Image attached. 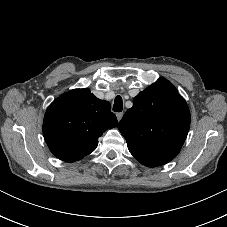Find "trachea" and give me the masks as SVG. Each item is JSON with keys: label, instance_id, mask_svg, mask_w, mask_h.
Returning a JSON list of instances; mask_svg holds the SVG:
<instances>
[{"label": "trachea", "instance_id": "trachea-1", "mask_svg": "<svg viewBox=\"0 0 227 227\" xmlns=\"http://www.w3.org/2000/svg\"><path fill=\"white\" fill-rule=\"evenodd\" d=\"M123 109V101L121 96H116L114 100V105H113V111L114 112H121Z\"/></svg>", "mask_w": 227, "mask_h": 227}]
</instances>
